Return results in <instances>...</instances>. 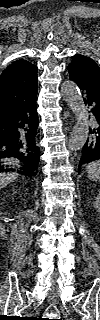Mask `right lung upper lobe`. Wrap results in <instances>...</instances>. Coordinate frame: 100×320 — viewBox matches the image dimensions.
<instances>
[{"mask_svg": "<svg viewBox=\"0 0 100 320\" xmlns=\"http://www.w3.org/2000/svg\"><path fill=\"white\" fill-rule=\"evenodd\" d=\"M37 90V67L19 59L0 76V106L24 99Z\"/></svg>", "mask_w": 100, "mask_h": 320, "instance_id": "1", "label": "right lung upper lobe"}]
</instances>
